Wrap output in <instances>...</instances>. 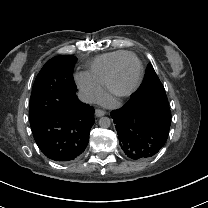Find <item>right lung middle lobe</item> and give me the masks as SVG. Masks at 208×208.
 Masks as SVG:
<instances>
[{
  "label": "right lung middle lobe",
  "instance_id": "1",
  "mask_svg": "<svg viewBox=\"0 0 208 208\" xmlns=\"http://www.w3.org/2000/svg\"><path fill=\"white\" fill-rule=\"evenodd\" d=\"M77 59L74 56H56L45 63L33 85L29 118L37 120L45 112L58 107V101H65L76 95L77 87L73 80V68Z\"/></svg>",
  "mask_w": 208,
  "mask_h": 208
}]
</instances>
